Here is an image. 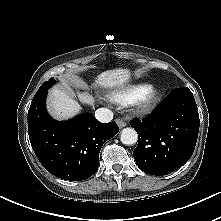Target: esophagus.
<instances>
[{
  "instance_id": "esophagus-1",
  "label": "esophagus",
  "mask_w": 221,
  "mask_h": 221,
  "mask_svg": "<svg viewBox=\"0 0 221 221\" xmlns=\"http://www.w3.org/2000/svg\"><path fill=\"white\" fill-rule=\"evenodd\" d=\"M116 123L119 128H123L127 125V123L125 121H123L122 119H116Z\"/></svg>"
}]
</instances>
